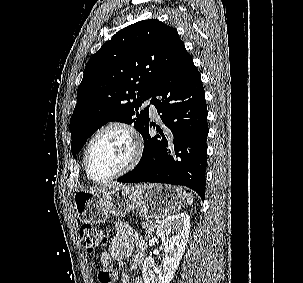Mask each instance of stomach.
<instances>
[{
  "instance_id": "1",
  "label": "stomach",
  "mask_w": 303,
  "mask_h": 283,
  "mask_svg": "<svg viewBox=\"0 0 303 283\" xmlns=\"http://www.w3.org/2000/svg\"><path fill=\"white\" fill-rule=\"evenodd\" d=\"M180 187L161 184H139L108 189L102 193L87 190L74 194V208L79 220L86 224H100L111 215L125 216L136 209L147 219L164 218L178 211L185 202Z\"/></svg>"
}]
</instances>
